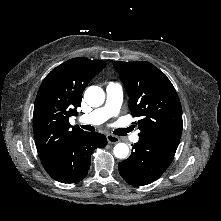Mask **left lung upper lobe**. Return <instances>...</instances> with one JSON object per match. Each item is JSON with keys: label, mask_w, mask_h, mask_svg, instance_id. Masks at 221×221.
<instances>
[{"label": "left lung upper lobe", "mask_w": 221, "mask_h": 221, "mask_svg": "<svg viewBox=\"0 0 221 221\" xmlns=\"http://www.w3.org/2000/svg\"><path fill=\"white\" fill-rule=\"evenodd\" d=\"M129 96L139 137L177 149L182 134V108L170 80L146 61H113Z\"/></svg>", "instance_id": "left-lung-upper-lobe-1"}]
</instances>
